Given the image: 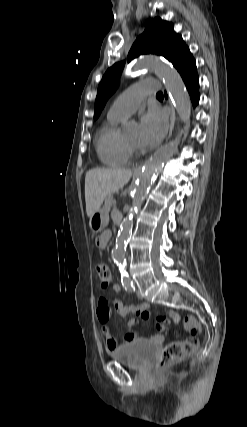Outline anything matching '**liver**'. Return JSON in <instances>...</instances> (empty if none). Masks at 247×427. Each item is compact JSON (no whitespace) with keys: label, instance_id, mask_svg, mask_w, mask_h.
Returning <instances> with one entry per match:
<instances>
[{"label":"liver","instance_id":"liver-1","mask_svg":"<svg viewBox=\"0 0 247 427\" xmlns=\"http://www.w3.org/2000/svg\"><path fill=\"white\" fill-rule=\"evenodd\" d=\"M132 176L131 170L92 168L85 176L86 213L91 217L111 193L123 188Z\"/></svg>","mask_w":247,"mask_h":427}]
</instances>
